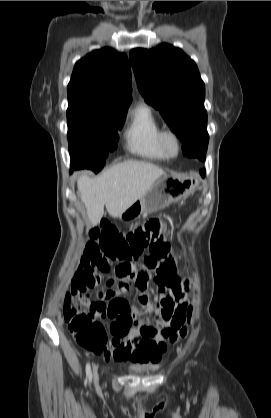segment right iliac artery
<instances>
[{
  "mask_svg": "<svg viewBox=\"0 0 271 418\" xmlns=\"http://www.w3.org/2000/svg\"><path fill=\"white\" fill-rule=\"evenodd\" d=\"M86 376H87V379H88L89 383H91V381H92V372H91V367H90V364L89 363H87V365H86Z\"/></svg>",
  "mask_w": 271,
  "mask_h": 418,
  "instance_id": "right-iliac-artery-1",
  "label": "right iliac artery"
}]
</instances>
